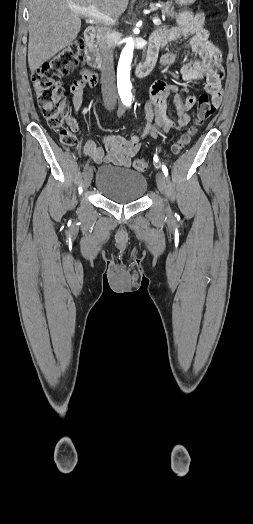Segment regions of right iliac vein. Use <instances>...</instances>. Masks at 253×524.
Instances as JSON below:
<instances>
[{
  "mask_svg": "<svg viewBox=\"0 0 253 524\" xmlns=\"http://www.w3.org/2000/svg\"><path fill=\"white\" fill-rule=\"evenodd\" d=\"M92 176H93L92 168L88 167L83 175V186L85 189H87L90 186Z\"/></svg>",
  "mask_w": 253,
  "mask_h": 524,
  "instance_id": "1",
  "label": "right iliac vein"
}]
</instances>
